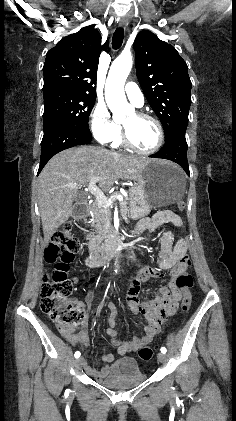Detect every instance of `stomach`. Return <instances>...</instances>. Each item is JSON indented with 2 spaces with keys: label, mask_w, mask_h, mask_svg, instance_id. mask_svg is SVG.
Here are the masks:
<instances>
[{
  "label": "stomach",
  "mask_w": 236,
  "mask_h": 421,
  "mask_svg": "<svg viewBox=\"0 0 236 421\" xmlns=\"http://www.w3.org/2000/svg\"><path fill=\"white\" fill-rule=\"evenodd\" d=\"M185 174L177 164L150 160L139 168L134 186L129 188V217L138 221L149 215L153 206H167L181 200Z\"/></svg>",
  "instance_id": "1"
}]
</instances>
